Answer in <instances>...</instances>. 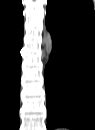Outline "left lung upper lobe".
<instances>
[{"instance_id":"obj_1","label":"left lung upper lobe","mask_w":95,"mask_h":130,"mask_svg":"<svg viewBox=\"0 0 95 130\" xmlns=\"http://www.w3.org/2000/svg\"><path fill=\"white\" fill-rule=\"evenodd\" d=\"M46 13L53 16H77L95 22L90 0H48Z\"/></svg>"}]
</instances>
